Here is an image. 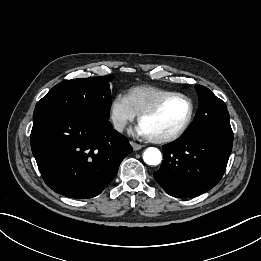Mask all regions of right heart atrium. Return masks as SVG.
Listing matches in <instances>:
<instances>
[{
	"label": "right heart atrium",
	"mask_w": 261,
	"mask_h": 261,
	"mask_svg": "<svg viewBox=\"0 0 261 261\" xmlns=\"http://www.w3.org/2000/svg\"><path fill=\"white\" fill-rule=\"evenodd\" d=\"M135 116L136 113L131 108L126 96L118 94L112 99L109 118L116 131H123Z\"/></svg>",
	"instance_id": "obj_1"
}]
</instances>
